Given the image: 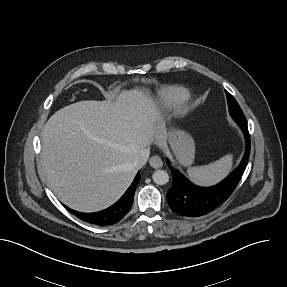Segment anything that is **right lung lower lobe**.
I'll list each match as a JSON object with an SVG mask.
<instances>
[{
	"label": "right lung lower lobe",
	"mask_w": 287,
	"mask_h": 287,
	"mask_svg": "<svg viewBox=\"0 0 287 287\" xmlns=\"http://www.w3.org/2000/svg\"><path fill=\"white\" fill-rule=\"evenodd\" d=\"M140 178V174L138 173L124 195L115 204L105 210L95 213H82L69 209L68 207L66 208L79 219L91 224L99 226L115 224L116 222L120 221L130 210L133 203L134 193Z\"/></svg>",
	"instance_id": "1"
}]
</instances>
